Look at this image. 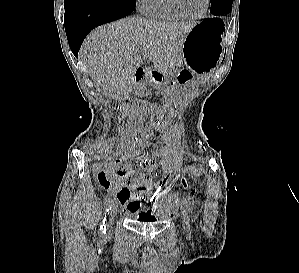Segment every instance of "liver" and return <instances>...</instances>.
<instances>
[{"mask_svg":"<svg viewBox=\"0 0 299 273\" xmlns=\"http://www.w3.org/2000/svg\"><path fill=\"white\" fill-rule=\"evenodd\" d=\"M197 22H163L124 18L92 31L80 50L92 80L112 98L128 95L142 65L140 52L163 76H173L183 64V45Z\"/></svg>","mask_w":299,"mask_h":273,"instance_id":"1","label":"liver"}]
</instances>
